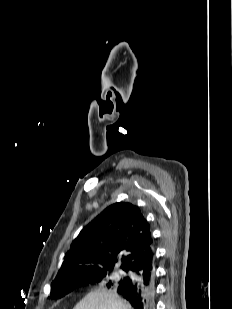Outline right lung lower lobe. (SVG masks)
<instances>
[{"label": "right lung lower lobe", "mask_w": 232, "mask_h": 309, "mask_svg": "<svg viewBox=\"0 0 232 309\" xmlns=\"http://www.w3.org/2000/svg\"><path fill=\"white\" fill-rule=\"evenodd\" d=\"M130 272L115 290L134 309H155L154 257H144L126 270Z\"/></svg>", "instance_id": "obj_1"}]
</instances>
